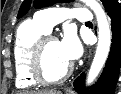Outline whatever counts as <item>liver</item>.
Returning a JSON list of instances; mask_svg holds the SVG:
<instances>
[{
  "mask_svg": "<svg viewBox=\"0 0 121 94\" xmlns=\"http://www.w3.org/2000/svg\"><path fill=\"white\" fill-rule=\"evenodd\" d=\"M25 94H61V92L57 90H50V91H39L37 93L28 92Z\"/></svg>",
  "mask_w": 121,
  "mask_h": 94,
  "instance_id": "liver-1",
  "label": "liver"
}]
</instances>
